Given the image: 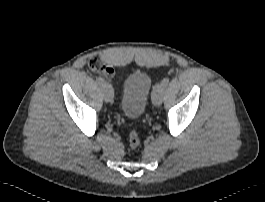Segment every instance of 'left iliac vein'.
<instances>
[{
  "label": "left iliac vein",
  "instance_id": "4c4485c4",
  "mask_svg": "<svg viewBox=\"0 0 265 202\" xmlns=\"http://www.w3.org/2000/svg\"><path fill=\"white\" fill-rule=\"evenodd\" d=\"M164 94V88H159L155 93L152 94V102L155 106H160L162 104Z\"/></svg>",
  "mask_w": 265,
  "mask_h": 202
}]
</instances>
